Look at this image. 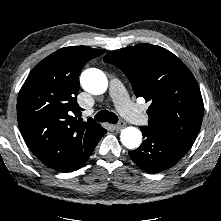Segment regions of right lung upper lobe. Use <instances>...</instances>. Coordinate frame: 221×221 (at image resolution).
Listing matches in <instances>:
<instances>
[{"label":"right lung upper lobe","instance_id":"obj_1","mask_svg":"<svg viewBox=\"0 0 221 221\" xmlns=\"http://www.w3.org/2000/svg\"><path fill=\"white\" fill-rule=\"evenodd\" d=\"M103 53L87 46L59 49L32 69L19 92L20 132L49 168L59 172L75 169L104 133L92 120L78 121L83 109L76 100L83 66Z\"/></svg>","mask_w":221,"mask_h":221}]
</instances>
